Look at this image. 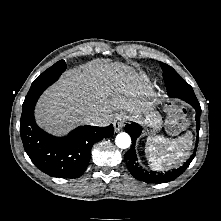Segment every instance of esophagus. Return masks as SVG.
Wrapping results in <instances>:
<instances>
[{
	"mask_svg": "<svg viewBox=\"0 0 221 221\" xmlns=\"http://www.w3.org/2000/svg\"><path fill=\"white\" fill-rule=\"evenodd\" d=\"M124 122H125L124 115H122V114L116 115L114 118V122H113L114 131L119 132L123 128Z\"/></svg>",
	"mask_w": 221,
	"mask_h": 221,
	"instance_id": "34e87169",
	"label": "esophagus"
}]
</instances>
